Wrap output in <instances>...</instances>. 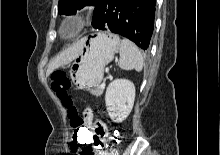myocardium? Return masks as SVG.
I'll use <instances>...</instances> for the list:
<instances>
[{
	"label": "myocardium",
	"mask_w": 220,
	"mask_h": 155,
	"mask_svg": "<svg viewBox=\"0 0 220 155\" xmlns=\"http://www.w3.org/2000/svg\"><path fill=\"white\" fill-rule=\"evenodd\" d=\"M81 22H82L81 17H67L62 21L59 30L61 32L74 31L80 26Z\"/></svg>",
	"instance_id": "f54148a6"
}]
</instances>
